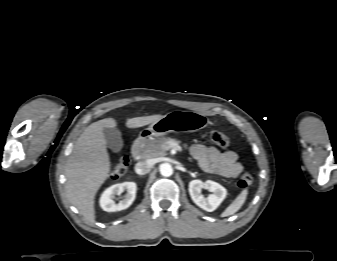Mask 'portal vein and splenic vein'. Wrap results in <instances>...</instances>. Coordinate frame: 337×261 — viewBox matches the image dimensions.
I'll return each instance as SVG.
<instances>
[{
    "mask_svg": "<svg viewBox=\"0 0 337 261\" xmlns=\"http://www.w3.org/2000/svg\"><path fill=\"white\" fill-rule=\"evenodd\" d=\"M171 148H174L178 151H182V148L179 146V144L175 143V142H170L166 145V149H171Z\"/></svg>",
    "mask_w": 337,
    "mask_h": 261,
    "instance_id": "portal-vein-and-splenic-vein-1",
    "label": "portal vein and splenic vein"
}]
</instances>
